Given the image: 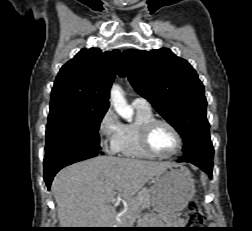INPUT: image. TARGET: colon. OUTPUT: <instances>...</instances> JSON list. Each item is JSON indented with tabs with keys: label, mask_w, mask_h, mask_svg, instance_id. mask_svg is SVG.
<instances>
[{
	"label": "colon",
	"mask_w": 252,
	"mask_h": 231,
	"mask_svg": "<svg viewBox=\"0 0 252 231\" xmlns=\"http://www.w3.org/2000/svg\"><path fill=\"white\" fill-rule=\"evenodd\" d=\"M186 221L190 227H198L205 222L204 215L201 212L196 200L190 202L187 206Z\"/></svg>",
	"instance_id": "5ec220e1"
}]
</instances>
